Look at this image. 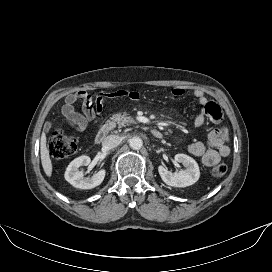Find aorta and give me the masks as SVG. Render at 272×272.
Masks as SVG:
<instances>
[{
    "label": "aorta",
    "instance_id": "obj_1",
    "mask_svg": "<svg viewBox=\"0 0 272 272\" xmlns=\"http://www.w3.org/2000/svg\"><path fill=\"white\" fill-rule=\"evenodd\" d=\"M129 145L134 150H139L143 146L142 139L140 137L134 136L129 140Z\"/></svg>",
    "mask_w": 272,
    "mask_h": 272
}]
</instances>
